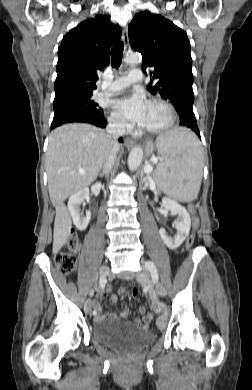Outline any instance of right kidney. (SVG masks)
Here are the masks:
<instances>
[{
    "label": "right kidney",
    "mask_w": 252,
    "mask_h": 390,
    "mask_svg": "<svg viewBox=\"0 0 252 390\" xmlns=\"http://www.w3.org/2000/svg\"><path fill=\"white\" fill-rule=\"evenodd\" d=\"M100 189H101V183H96L93 186H91V191L95 196L99 194ZM88 195H89V189L85 188L73 194L68 201V210L73 219V223L76 226V228L80 231H84L87 228L89 221L91 219L90 211H87L85 215L82 212H80V205Z\"/></svg>",
    "instance_id": "ca27d5eb"
}]
</instances>
